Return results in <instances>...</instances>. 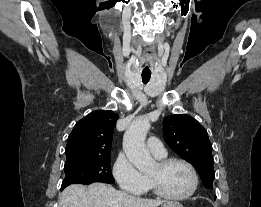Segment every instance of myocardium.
<instances>
[{"instance_id": "myocardium-1", "label": "myocardium", "mask_w": 261, "mask_h": 207, "mask_svg": "<svg viewBox=\"0 0 261 207\" xmlns=\"http://www.w3.org/2000/svg\"><path fill=\"white\" fill-rule=\"evenodd\" d=\"M158 166L160 168H166L172 164H181L184 165L190 175H191V187L190 189L181 195H173V194H169L166 191H164L161 186L158 184V182L151 176H149V183L153 189V191L160 197L167 199V200H175V201H180V200H185L190 198L191 196H193L198 188V175L196 173V170L194 168V166L189 163L188 161L184 160V159H180V158H165V159H160L158 161Z\"/></svg>"}]
</instances>
